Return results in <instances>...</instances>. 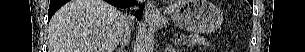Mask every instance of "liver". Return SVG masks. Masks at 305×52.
<instances>
[{
    "instance_id": "6515ba94",
    "label": "liver",
    "mask_w": 305,
    "mask_h": 52,
    "mask_svg": "<svg viewBox=\"0 0 305 52\" xmlns=\"http://www.w3.org/2000/svg\"><path fill=\"white\" fill-rule=\"evenodd\" d=\"M127 25L126 16L105 1L71 0L49 23L48 52H113Z\"/></svg>"
}]
</instances>
